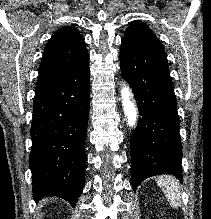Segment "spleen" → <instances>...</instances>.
<instances>
[{
    "label": "spleen",
    "mask_w": 211,
    "mask_h": 219,
    "mask_svg": "<svg viewBox=\"0 0 211 219\" xmlns=\"http://www.w3.org/2000/svg\"><path fill=\"white\" fill-rule=\"evenodd\" d=\"M157 184L162 189L167 200L173 208H178L181 203V192L179 182L172 176H160Z\"/></svg>",
    "instance_id": "3e777b00"
}]
</instances>
